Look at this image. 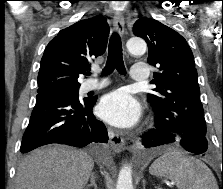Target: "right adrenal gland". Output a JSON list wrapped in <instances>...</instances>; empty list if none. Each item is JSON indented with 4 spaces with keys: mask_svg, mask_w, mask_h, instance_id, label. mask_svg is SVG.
<instances>
[{
    "mask_svg": "<svg viewBox=\"0 0 223 189\" xmlns=\"http://www.w3.org/2000/svg\"><path fill=\"white\" fill-rule=\"evenodd\" d=\"M95 180H96L95 173L92 172L91 177H90V184L86 185L85 189H89L90 187H94V189H98V186Z\"/></svg>",
    "mask_w": 223,
    "mask_h": 189,
    "instance_id": "2a0ac1e0",
    "label": "right adrenal gland"
}]
</instances>
